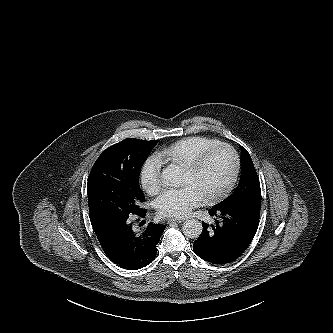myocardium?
I'll list each match as a JSON object with an SVG mask.
<instances>
[{
    "label": "myocardium",
    "instance_id": "1",
    "mask_svg": "<svg viewBox=\"0 0 333 333\" xmlns=\"http://www.w3.org/2000/svg\"><path fill=\"white\" fill-rule=\"evenodd\" d=\"M221 148H227L233 153L235 158V167L232 176L226 183V185L215 194L204 198V202L207 204H213L224 199L233 190L241 171V158L238 151L229 143L219 142L200 152L192 161L182 167L183 170L189 173H195L201 169V167L204 165V163L207 161V159L212 153Z\"/></svg>",
    "mask_w": 333,
    "mask_h": 333
}]
</instances>
